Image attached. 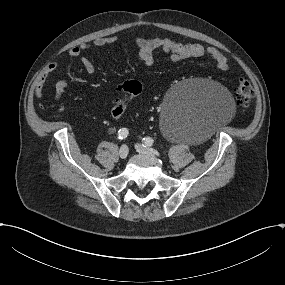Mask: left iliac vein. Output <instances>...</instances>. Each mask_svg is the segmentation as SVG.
Masks as SVG:
<instances>
[{
  "label": "left iliac vein",
  "mask_w": 285,
  "mask_h": 285,
  "mask_svg": "<svg viewBox=\"0 0 285 285\" xmlns=\"http://www.w3.org/2000/svg\"><path fill=\"white\" fill-rule=\"evenodd\" d=\"M135 148L141 154H147V155H152V156L157 155V152L154 149L145 147L142 144H137Z\"/></svg>",
  "instance_id": "1"
}]
</instances>
